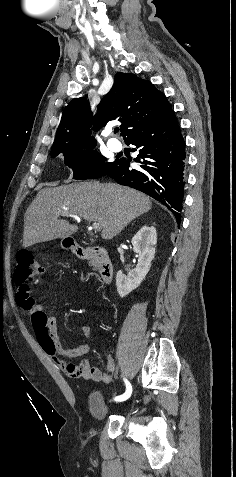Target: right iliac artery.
Segmentation results:
<instances>
[{"instance_id":"obj_1","label":"right iliac artery","mask_w":236,"mask_h":477,"mask_svg":"<svg viewBox=\"0 0 236 477\" xmlns=\"http://www.w3.org/2000/svg\"><path fill=\"white\" fill-rule=\"evenodd\" d=\"M124 382L126 384V391L123 395H120V396H116L114 400H112L111 402L114 403V404H122L124 402H126V400L130 399L131 397V393H132V386L130 384V382L124 378Z\"/></svg>"}]
</instances>
